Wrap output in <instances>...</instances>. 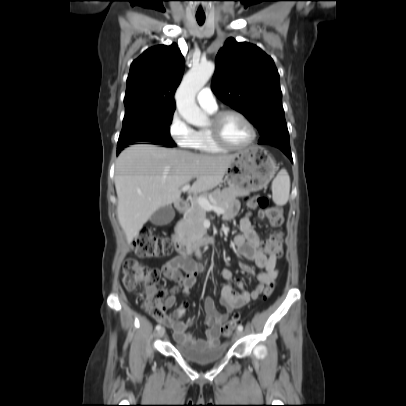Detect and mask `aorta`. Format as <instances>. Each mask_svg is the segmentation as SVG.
Here are the masks:
<instances>
[{
    "instance_id": "obj_1",
    "label": "aorta",
    "mask_w": 406,
    "mask_h": 406,
    "mask_svg": "<svg viewBox=\"0 0 406 406\" xmlns=\"http://www.w3.org/2000/svg\"><path fill=\"white\" fill-rule=\"evenodd\" d=\"M214 70L215 65L210 61L194 65L183 77L177 89L175 99L179 114L192 125L204 126L207 123V117L196 104L195 97L213 75Z\"/></svg>"
}]
</instances>
